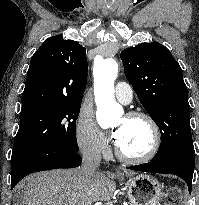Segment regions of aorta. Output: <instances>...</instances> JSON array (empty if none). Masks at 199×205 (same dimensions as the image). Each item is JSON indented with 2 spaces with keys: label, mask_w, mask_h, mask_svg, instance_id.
<instances>
[{
  "label": "aorta",
  "mask_w": 199,
  "mask_h": 205,
  "mask_svg": "<svg viewBox=\"0 0 199 205\" xmlns=\"http://www.w3.org/2000/svg\"><path fill=\"white\" fill-rule=\"evenodd\" d=\"M118 73V64L113 58H107L94 67V93L98 107L96 117L100 126L111 122L112 117L122 113L121 106L114 100V81Z\"/></svg>",
  "instance_id": "1"
}]
</instances>
